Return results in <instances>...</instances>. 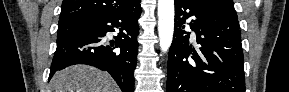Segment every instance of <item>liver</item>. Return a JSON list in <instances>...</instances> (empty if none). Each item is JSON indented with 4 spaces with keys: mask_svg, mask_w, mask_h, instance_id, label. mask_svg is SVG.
<instances>
[{
    "mask_svg": "<svg viewBox=\"0 0 289 92\" xmlns=\"http://www.w3.org/2000/svg\"><path fill=\"white\" fill-rule=\"evenodd\" d=\"M50 92H119L107 73L87 65H74L52 77Z\"/></svg>",
    "mask_w": 289,
    "mask_h": 92,
    "instance_id": "obj_1",
    "label": "liver"
}]
</instances>
